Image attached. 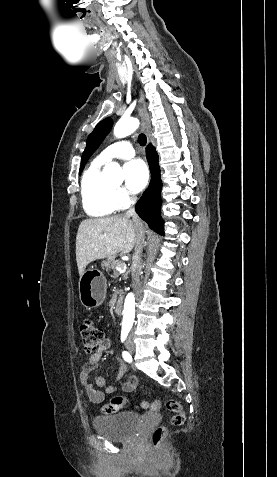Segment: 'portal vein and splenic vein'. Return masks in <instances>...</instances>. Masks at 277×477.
Masks as SVG:
<instances>
[{
  "label": "portal vein and splenic vein",
  "instance_id": "1",
  "mask_svg": "<svg viewBox=\"0 0 277 477\" xmlns=\"http://www.w3.org/2000/svg\"><path fill=\"white\" fill-rule=\"evenodd\" d=\"M116 270L119 272H124L126 270V264L125 263H120L117 267Z\"/></svg>",
  "mask_w": 277,
  "mask_h": 477
}]
</instances>
